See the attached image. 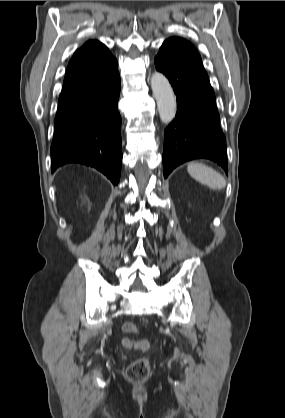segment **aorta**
I'll return each instance as SVG.
<instances>
[{
    "instance_id": "aorta-1",
    "label": "aorta",
    "mask_w": 285,
    "mask_h": 418,
    "mask_svg": "<svg viewBox=\"0 0 285 418\" xmlns=\"http://www.w3.org/2000/svg\"><path fill=\"white\" fill-rule=\"evenodd\" d=\"M151 88L157 102L160 119L169 124L176 114V97L168 79L159 72L151 77Z\"/></svg>"
}]
</instances>
